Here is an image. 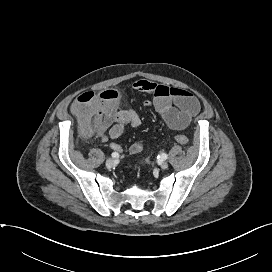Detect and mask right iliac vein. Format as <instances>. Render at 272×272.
<instances>
[{
	"label": "right iliac vein",
	"instance_id": "right-iliac-vein-1",
	"mask_svg": "<svg viewBox=\"0 0 272 272\" xmlns=\"http://www.w3.org/2000/svg\"><path fill=\"white\" fill-rule=\"evenodd\" d=\"M114 165V160L112 158H109L106 160V167L107 168H112Z\"/></svg>",
	"mask_w": 272,
	"mask_h": 272
}]
</instances>
